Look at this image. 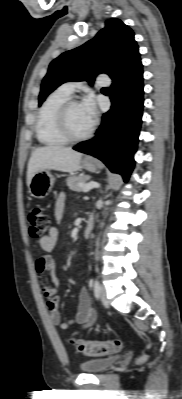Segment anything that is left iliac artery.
<instances>
[{
	"mask_svg": "<svg viewBox=\"0 0 182 399\" xmlns=\"http://www.w3.org/2000/svg\"><path fill=\"white\" fill-rule=\"evenodd\" d=\"M100 284L98 282V280L94 281V285H93V289H94V295L95 297L98 299L100 296Z\"/></svg>",
	"mask_w": 182,
	"mask_h": 399,
	"instance_id": "obj_1",
	"label": "left iliac artery"
}]
</instances>
